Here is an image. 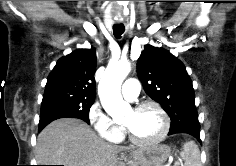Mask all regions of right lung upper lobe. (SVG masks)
<instances>
[{"label": "right lung upper lobe", "mask_w": 236, "mask_h": 166, "mask_svg": "<svg viewBox=\"0 0 236 166\" xmlns=\"http://www.w3.org/2000/svg\"><path fill=\"white\" fill-rule=\"evenodd\" d=\"M96 51L78 49L60 58L48 76L44 95L62 93L95 98Z\"/></svg>", "instance_id": "cb5924a9"}]
</instances>
